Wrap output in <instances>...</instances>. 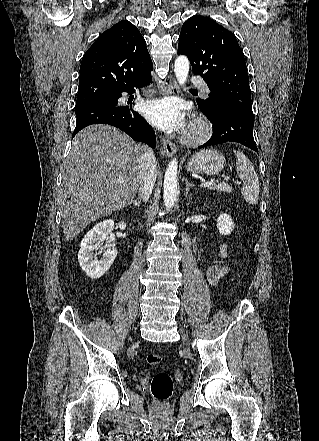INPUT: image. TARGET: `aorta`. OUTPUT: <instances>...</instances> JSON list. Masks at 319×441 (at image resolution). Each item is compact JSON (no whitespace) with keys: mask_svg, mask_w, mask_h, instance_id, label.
Returning a JSON list of instances; mask_svg holds the SVG:
<instances>
[{"mask_svg":"<svg viewBox=\"0 0 319 441\" xmlns=\"http://www.w3.org/2000/svg\"><path fill=\"white\" fill-rule=\"evenodd\" d=\"M174 72L180 85H184L189 73L190 62L188 57L179 55L175 60ZM177 169L178 161L176 158L169 162L164 176L163 199L166 208H171L177 197Z\"/></svg>","mask_w":319,"mask_h":441,"instance_id":"obj_1","label":"aorta"}]
</instances>
